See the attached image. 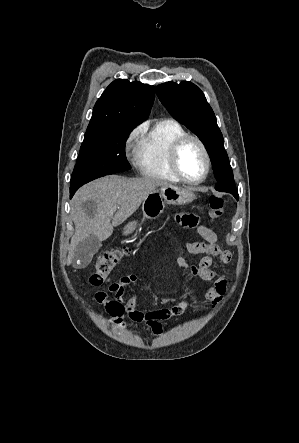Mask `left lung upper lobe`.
<instances>
[{
  "label": "left lung upper lobe",
  "instance_id": "1",
  "mask_svg": "<svg viewBox=\"0 0 299 443\" xmlns=\"http://www.w3.org/2000/svg\"><path fill=\"white\" fill-rule=\"evenodd\" d=\"M156 92L169 113L195 133L205 145L217 180L215 189L237 192L222 133L203 92L187 81L160 84Z\"/></svg>",
  "mask_w": 299,
  "mask_h": 443
}]
</instances>
